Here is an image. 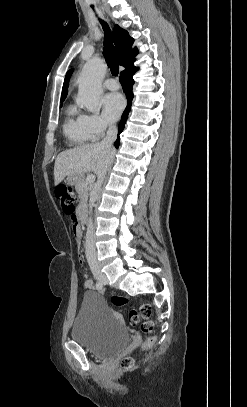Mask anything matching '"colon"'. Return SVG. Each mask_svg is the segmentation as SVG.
I'll list each match as a JSON object with an SVG mask.
<instances>
[{"label": "colon", "instance_id": "obj_1", "mask_svg": "<svg viewBox=\"0 0 247 407\" xmlns=\"http://www.w3.org/2000/svg\"><path fill=\"white\" fill-rule=\"evenodd\" d=\"M55 194L60 200L63 212L68 216L74 215V193L71 187L67 185H58L55 189ZM111 301L113 305L117 307H123L128 304V299L122 295H114ZM151 314L152 310L148 304H144L138 309H131L128 314L130 324L140 325L144 332L150 334L143 345L145 350L150 349L155 342V337L151 334L153 331V323L150 319ZM134 365L135 359L133 357H125L121 362V370H129L133 368Z\"/></svg>", "mask_w": 247, "mask_h": 407}]
</instances>
